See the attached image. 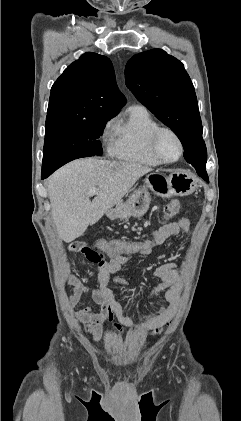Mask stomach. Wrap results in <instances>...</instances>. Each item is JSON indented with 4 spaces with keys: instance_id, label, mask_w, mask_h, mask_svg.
Here are the masks:
<instances>
[{
    "instance_id": "stomach-1",
    "label": "stomach",
    "mask_w": 241,
    "mask_h": 421,
    "mask_svg": "<svg viewBox=\"0 0 241 421\" xmlns=\"http://www.w3.org/2000/svg\"><path fill=\"white\" fill-rule=\"evenodd\" d=\"M197 188L196 178L185 171H173L169 175L161 172L150 173L145 179V185L136 191L137 198L128 206L127 202H120L115 209L106 214L110 219H127L130 216L141 218L149 209L151 189L163 198L172 196H187Z\"/></svg>"
}]
</instances>
